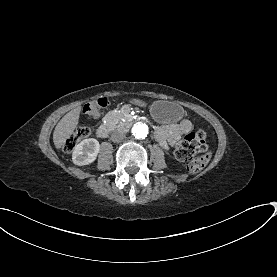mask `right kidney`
I'll list each match as a JSON object with an SVG mask.
<instances>
[{
  "instance_id": "right-kidney-1",
  "label": "right kidney",
  "mask_w": 277,
  "mask_h": 277,
  "mask_svg": "<svg viewBox=\"0 0 277 277\" xmlns=\"http://www.w3.org/2000/svg\"><path fill=\"white\" fill-rule=\"evenodd\" d=\"M99 150L100 144L96 139H85L74 147L72 161L78 166L90 164L95 161Z\"/></svg>"
}]
</instances>
